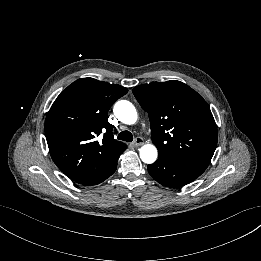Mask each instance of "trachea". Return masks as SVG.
Masks as SVG:
<instances>
[{
	"label": "trachea",
	"mask_w": 261,
	"mask_h": 261,
	"mask_svg": "<svg viewBox=\"0 0 261 261\" xmlns=\"http://www.w3.org/2000/svg\"><path fill=\"white\" fill-rule=\"evenodd\" d=\"M118 139L123 140V141H127V142H131V141H133V135H132L131 132L124 130V131L119 133Z\"/></svg>",
	"instance_id": "trachea-1"
}]
</instances>
